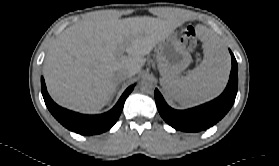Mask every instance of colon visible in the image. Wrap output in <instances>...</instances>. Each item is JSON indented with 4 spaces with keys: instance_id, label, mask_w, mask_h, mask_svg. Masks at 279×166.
<instances>
[{
    "instance_id": "1",
    "label": "colon",
    "mask_w": 279,
    "mask_h": 166,
    "mask_svg": "<svg viewBox=\"0 0 279 166\" xmlns=\"http://www.w3.org/2000/svg\"><path fill=\"white\" fill-rule=\"evenodd\" d=\"M178 38L181 46L189 51H195L198 55L199 52L197 50L198 47V38L196 34V30L193 26H186L179 30Z\"/></svg>"
}]
</instances>
